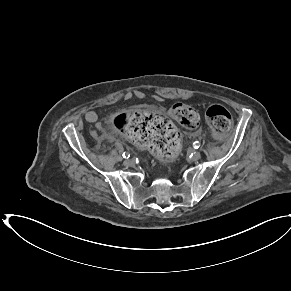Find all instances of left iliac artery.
Instances as JSON below:
<instances>
[{
    "instance_id": "obj_1",
    "label": "left iliac artery",
    "mask_w": 291,
    "mask_h": 291,
    "mask_svg": "<svg viewBox=\"0 0 291 291\" xmlns=\"http://www.w3.org/2000/svg\"><path fill=\"white\" fill-rule=\"evenodd\" d=\"M193 147H194L195 149H198V148L200 147V143H199V141H195V142L193 143Z\"/></svg>"
}]
</instances>
